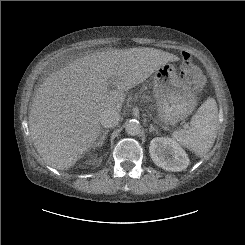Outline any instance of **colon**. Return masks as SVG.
Here are the masks:
<instances>
[{
	"label": "colon",
	"mask_w": 245,
	"mask_h": 245,
	"mask_svg": "<svg viewBox=\"0 0 245 245\" xmlns=\"http://www.w3.org/2000/svg\"><path fill=\"white\" fill-rule=\"evenodd\" d=\"M180 63V75L194 94H199L206 85V78L195 64L190 53L183 51Z\"/></svg>",
	"instance_id": "obj_1"
}]
</instances>
